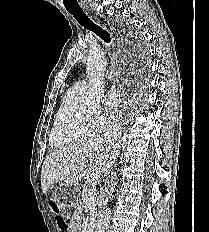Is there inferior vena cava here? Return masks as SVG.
Instances as JSON below:
<instances>
[{"label": "inferior vena cava", "mask_w": 209, "mask_h": 232, "mask_svg": "<svg viewBox=\"0 0 209 232\" xmlns=\"http://www.w3.org/2000/svg\"><path fill=\"white\" fill-rule=\"evenodd\" d=\"M114 132H115V128L111 127L104 134V136L106 138V141L109 142V146H110L111 149H114L115 144H116V137H114V134H115ZM109 168H110V166L108 167V170H109ZM108 170L106 171V173L108 172Z\"/></svg>", "instance_id": "1"}]
</instances>
